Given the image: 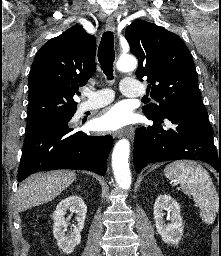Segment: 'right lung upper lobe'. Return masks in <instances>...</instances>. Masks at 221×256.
Returning a JSON list of instances; mask_svg holds the SVG:
<instances>
[{"label": "right lung upper lobe", "mask_w": 221, "mask_h": 256, "mask_svg": "<svg viewBox=\"0 0 221 256\" xmlns=\"http://www.w3.org/2000/svg\"><path fill=\"white\" fill-rule=\"evenodd\" d=\"M96 39L73 26L38 51L29 74L28 115L52 110L76 112L74 94L95 72Z\"/></svg>", "instance_id": "1"}]
</instances>
